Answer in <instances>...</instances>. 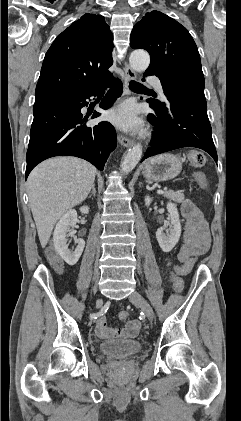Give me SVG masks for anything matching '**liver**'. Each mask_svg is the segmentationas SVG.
<instances>
[{"label":"liver","instance_id":"obj_1","mask_svg":"<svg viewBox=\"0 0 241 421\" xmlns=\"http://www.w3.org/2000/svg\"><path fill=\"white\" fill-rule=\"evenodd\" d=\"M95 176L96 168L76 157L51 158L32 170L27 192L43 248L58 219L86 199Z\"/></svg>","mask_w":241,"mask_h":421}]
</instances>
